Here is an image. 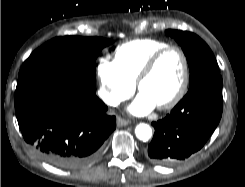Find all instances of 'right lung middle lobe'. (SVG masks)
I'll use <instances>...</instances> for the list:
<instances>
[{"mask_svg":"<svg viewBox=\"0 0 245 187\" xmlns=\"http://www.w3.org/2000/svg\"><path fill=\"white\" fill-rule=\"evenodd\" d=\"M112 43L100 37H57L35 50L23 63L18 78L53 71L96 84L95 62L105 46Z\"/></svg>","mask_w":245,"mask_h":187,"instance_id":"1","label":"right lung middle lobe"}]
</instances>
